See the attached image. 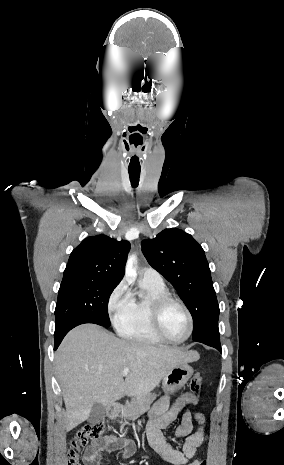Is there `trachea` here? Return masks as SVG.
Returning <instances> with one entry per match:
<instances>
[{
    "mask_svg": "<svg viewBox=\"0 0 284 465\" xmlns=\"http://www.w3.org/2000/svg\"><path fill=\"white\" fill-rule=\"evenodd\" d=\"M130 182L133 188H136L139 183V177L141 170L140 169H128Z\"/></svg>",
    "mask_w": 284,
    "mask_h": 465,
    "instance_id": "1",
    "label": "trachea"
}]
</instances>
